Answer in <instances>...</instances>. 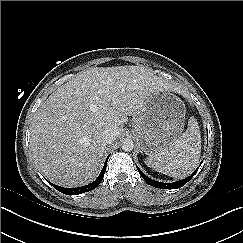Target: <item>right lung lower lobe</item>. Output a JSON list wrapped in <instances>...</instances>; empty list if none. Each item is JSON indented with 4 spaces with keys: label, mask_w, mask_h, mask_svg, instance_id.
<instances>
[{
    "label": "right lung lower lobe",
    "mask_w": 243,
    "mask_h": 243,
    "mask_svg": "<svg viewBox=\"0 0 243 243\" xmlns=\"http://www.w3.org/2000/svg\"><path fill=\"white\" fill-rule=\"evenodd\" d=\"M108 158L109 156L107 157L106 161H105V165L100 173V175L98 176V178L86 185V186H82V187H77V188H63V187H60V186H57V185H54L52 183H50L55 189H57L58 191H60L61 193H64L66 195H78V194H81V193H84V192H87V191H91L93 189H95L102 181L103 177H104V174H105V170H106V164H107V161H108Z\"/></svg>",
    "instance_id": "right-lung-lower-lobe-1"
}]
</instances>
